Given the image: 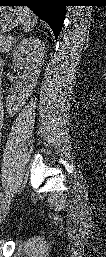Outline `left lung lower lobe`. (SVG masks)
Returning a JSON list of instances; mask_svg holds the SVG:
<instances>
[{"mask_svg":"<svg viewBox=\"0 0 106 257\" xmlns=\"http://www.w3.org/2000/svg\"><path fill=\"white\" fill-rule=\"evenodd\" d=\"M0 4L29 7L40 19L49 24L55 38L62 29L66 12L63 0H0Z\"/></svg>","mask_w":106,"mask_h":257,"instance_id":"0a47b994","label":"left lung lower lobe"}]
</instances>
